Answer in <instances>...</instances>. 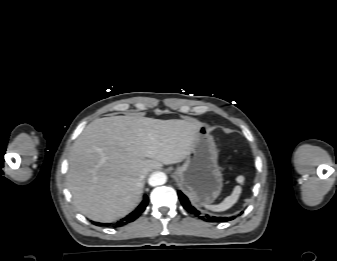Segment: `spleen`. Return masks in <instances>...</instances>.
Masks as SVG:
<instances>
[{
    "label": "spleen",
    "mask_w": 337,
    "mask_h": 261,
    "mask_svg": "<svg viewBox=\"0 0 337 261\" xmlns=\"http://www.w3.org/2000/svg\"><path fill=\"white\" fill-rule=\"evenodd\" d=\"M236 180H237L238 183L243 184L245 178L240 175L236 178ZM241 191H242L241 186L237 185L233 189L232 194L230 196L226 197L220 204L205 205V207L209 210H212V211H217V212L225 211V210L229 209L230 207H232L237 202V200H238V198L241 194Z\"/></svg>",
    "instance_id": "spleen-1"
}]
</instances>
